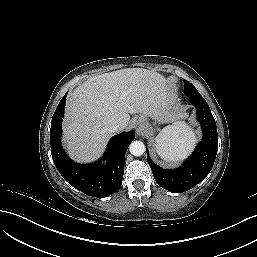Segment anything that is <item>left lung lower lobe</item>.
Wrapping results in <instances>:
<instances>
[{
  "instance_id": "obj_1",
  "label": "left lung lower lobe",
  "mask_w": 257,
  "mask_h": 257,
  "mask_svg": "<svg viewBox=\"0 0 257 257\" xmlns=\"http://www.w3.org/2000/svg\"><path fill=\"white\" fill-rule=\"evenodd\" d=\"M190 102L197 110V120L202 127L203 139L183 165L176 169H162L150 159L146 149L147 161L156 182L174 193L190 190L203 181L213 167L218 150L216 122L207 102L204 98H190Z\"/></svg>"
}]
</instances>
